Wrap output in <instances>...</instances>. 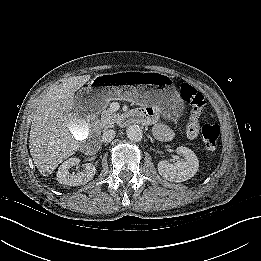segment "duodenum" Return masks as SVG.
Here are the masks:
<instances>
[{"instance_id":"obj_1","label":"duodenum","mask_w":261,"mask_h":261,"mask_svg":"<svg viewBox=\"0 0 261 261\" xmlns=\"http://www.w3.org/2000/svg\"><path fill=\"white\" fill-rule=\"evenodd\" d=\"M134 121V117L132 113H129L126 118L125 122L130 123ZM99 139L97 137L91 138L88 142H86L83 146V151L85 153H93L99 147Z\"/></svg>"}]
</instances>
